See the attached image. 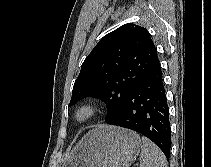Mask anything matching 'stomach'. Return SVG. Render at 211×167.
<instances>
[{
  "instance_id": "obj_1",
  "label": "stomach",
  "mask_w": 211,
  "mask_h": 167,
  "mask_svg": "<svg viewBox=\"0 0 211 167\" xmlns=\"http://www.w3.org/2000/svg\"><path fill=\"white\" fill-rule=\"evenodd\" d=\"M141 148V138L136 132L98 126L67 154L62 167H129Z\"/></svg>"
}]
</instances>
